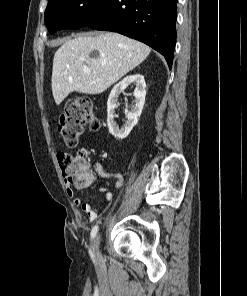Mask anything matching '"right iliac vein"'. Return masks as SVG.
Listing matches in <instances>:
<instances>
[{"instance_id":"right-iliac-vein-1","label":"right iliac vein","mask_w":247,"mask_h":296,"mask_svg":"<svg viewBox=\"0 0 247 296\" xmlns=\"http://www.w3.org/2000/svg\"><path fill=\"white\" fill-rule=\"evenodd\" d=\"M99 243H100V236H97L93 241V247L97 255L99 254Z\"/></svg>"}]
</instances>
